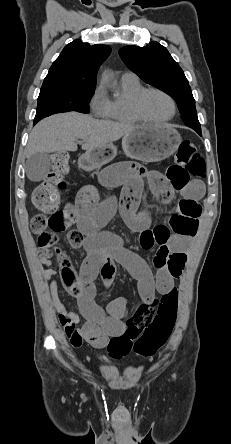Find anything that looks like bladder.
<instances>
[{"mask_svg":"<svg viewBox=\"0 0 231 444\" xmlns=\"http://www.w3.org/2000/svg\"><path fill=\"white\" fill-rule=\"evenodd\" d=\"M100 363H101L102 365H105V364H106V361L103 360V359H100Z\"/></svg>","mask_w":231,"mask_h":444,"instance_id":"31cf9c89","label":"bladder"}]
</instances>
